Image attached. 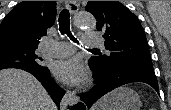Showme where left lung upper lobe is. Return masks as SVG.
Here are the masks:
<instances>
[{
	"label": "left lung upper lobe",
	"mask_w": 171,
	"mask_h": 110,
	"mask_svg": "<svg viewBox=\"0 0 171 110\" xmlns=\"http://www.w3.org/2000/svg\"><path fill=\"white\" fill-rule=\"evenodd\" d=\"M86 11L97 19L109 55L94 56L89 66L94 70L114 66L153 67L147 39L139 19L118 1H88Z\"/></svg>",
	"instance_id": "left-lung-upper-lobe-1"
}]
</instances>
